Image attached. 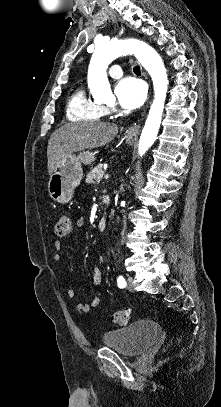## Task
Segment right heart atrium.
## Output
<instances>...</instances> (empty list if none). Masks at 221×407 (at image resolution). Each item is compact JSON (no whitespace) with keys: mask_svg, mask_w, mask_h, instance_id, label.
I'll return each instance as SVG.
<instances>
[{"mask_svg":"<svg viewBox=\"0 0 221 407\" xmlns=\"http://www.w3.org/2000/svg\"><path fill=\"white\" fill-rule=\"evenodd\" d=\"M108 112L113 111V108H107Z\"/></svg>","mask_w":221,"mask_h":407,"instance_id":"right-heart-atrium-1","label":"right heart atrium"}]
</instances>
